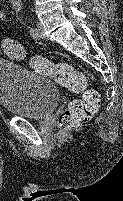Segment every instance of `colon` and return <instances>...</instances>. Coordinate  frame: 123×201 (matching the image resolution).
<instances>
[{"label": "colon", "mask_w": 123, "mask_h": 201, "mask_svg": "<svg viewBox=\"0 0 123 201\" xmlns=\"http://www.w3.org/2000/svg\"><path fill=\"white\" fill-rule=\"evenodd\" d=\"M3 52L12 60H22L25 56L22 46L13 38L2 40ZM37 73L50 77L57 84L73 92H83L81 99L72 100L59 117V126L63 130H72L87 123L100 107V97L94 90H86L84 74L76 71L67 63H52L35 56L30 63Z\"/></svg>", "instance_id": "obj_1"}]
</instances>
